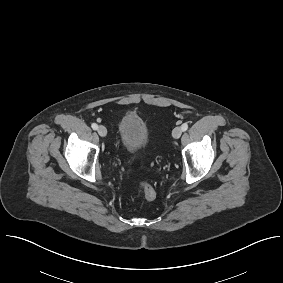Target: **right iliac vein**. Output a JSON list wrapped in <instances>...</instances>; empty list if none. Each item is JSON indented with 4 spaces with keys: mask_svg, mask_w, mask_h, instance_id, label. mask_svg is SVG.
Segmentation results:
<instances>
[{
    "mask_svg": "<svg viewBox=\"0 0 283 283\" xmlns=\"http://www.w3.org/2000/svg\"><path fill=\"white\" fill-rule=\"evenodd\" d=\"M97 131L101 137H105L107 135V129L102 125L98 127Z\"/></svg>",
    "mask_w": 283,
    "mask_h": 283,
    "instance_id": "1",
    "label": "right iliac vein"
}]
</instances>
